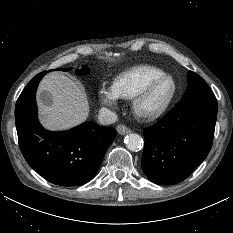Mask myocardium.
Returning <instances> with one entry per match:
<instances>
[{"label": "myocardium", "mask_w": 233, "mask_h": 233, "mask_svg": "<svg viewBox=\"0 0 233 233\" xmlns=\"http://www.w3.org/2000/svg\"><path fill=\"white\" fill-rule=\"evenodd\" d=\"M165 82L170 84L169 92L157 107L153 109H147L145 107V102L155 91V89ZM176 90V82L170 75L164 74L158 78L153 79L132 98V109L134 114L139 119L144 121H153L158 119L168 110L176 95Z\"/></svg>", "instance_id": "obj_1"}]
</instances>
